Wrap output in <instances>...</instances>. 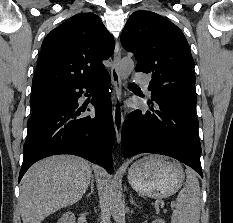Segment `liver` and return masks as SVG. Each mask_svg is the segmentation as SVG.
Instances as JSON below:
<instances>
[{
    "mask_svg": "<svg viewBox=\"0 0 233 223\" xmlns=\"http://www.w3.org/2000/svg\"><path fill=\"white\" fill-rule=\"evenodd\" d=\"M91 175L90 163L77 155H53L31 165L19 195L23 223H41L53 211L79 201Z\"/></svg>",
    "mask_w": 233,
    "mask_h": 223,
    "instance_id": "1",
    "label": "liver"
}]
</instances>
